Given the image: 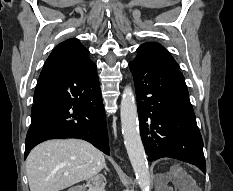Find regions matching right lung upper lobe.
Masks as SVG:
<instances>
[{"label":"right lung upper lobe","instance_id":"right-lung-upper-lobe-1","mask_svg":"<svg viewBox=\"0 0 233 191\" xmlns=\"http://www.w3.org/2000/svg\"><path fill=\"white\" fill-rule=\"evenodd\" d=\"M89 51L77 40L69 39L60 43L50 54L43 69L52 67H78L90 61Z\"/></svg>","mask_w":233,"mask_h":191}]
</instances>
